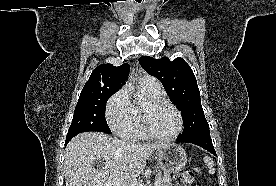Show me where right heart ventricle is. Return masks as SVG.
<instances>
[{"instance_id":"obj_1","label":"right heart ventricle","mask_w":276,"mask_h":186,"mask_svg":"<svg viewBox=\"0 0 276 186\" xmlns=\"http://www.w3.org/2000/svg\"><path fill=\"white\" fill-rule=\"evenodd\" d=\"M141 86L150 99L160 97L161 91L152 90L143 84H141ZM132 108L135 115V123L133 128L128 133H125L123 135L131 139H146L148 136L142 124L143 107L140 106L139 104H135V105H132Z\"/></svg>"}]
</instances>
